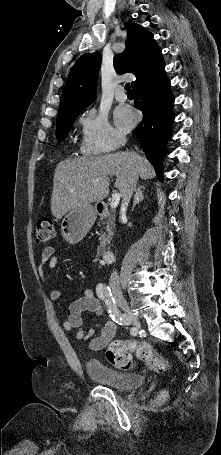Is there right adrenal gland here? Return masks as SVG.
<instances>
[{"label": "right adrenal gland", "instance_id": "obj_1", "mask_svg": "<svg viewBox=\"0 0 221 455\" xmlns=\"http://www.w3.org/2000/svg\"><path fill=\"white\" fill-rule=\"evenodd\" d=\"M144 189H145L144 186L137 187V189L135 191V195H134L133 204H132V210L134 209L136 204H138L140 201H142L144 199L143 191H142Z\"/></svg>", "mask_w": 221, "mask_h": 455}]
</instances>
